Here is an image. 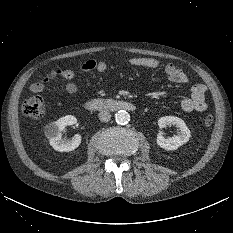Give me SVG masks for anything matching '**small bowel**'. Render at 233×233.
<instances>
[{
	"instance_id": "c3829d8e",
	"label": "small bowel",
	"mask_w": 233,
	"mask_h": 233,
	"mask_svg": "<svg viewBox=\"0 0 233 233\" xmlns=\"http://www.w3.org/2000/svg\"><path fill=\"white\" fill-rule=\"evenodd\" d=\"M128 61L131 65L149 69H155L159 66L158 60L150 57H131ZM81 70L84 72L96 71L102 74L107 70V64L102 60L88 59L82 64ZM165 73L176 84H184L188 81L187 74L173 64H168L165 67ZM74 78L75 72L72 69L53 68L45 77L33 83L30 89L33 93H42L50 82L56 79H65L68 80L66 91L69 94H75L77 92V84ZM206 91V86L203 84L193 85L190 96L181 101V109L186 113L204 112L207 109Z\"/></svg>"
}]
</instances>
